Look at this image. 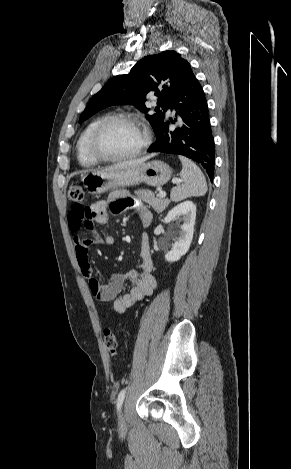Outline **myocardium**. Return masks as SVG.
<instances>
[{
  "instance_id": "myocardium-1",
  "label": "myocardium",
  "mask_w": 291,
  "mask_h": 469,
  "mask_svg": "<svg viewBox=\"0 0 291 469\" xmlns=\"http://www.w3.org/2000/svg\"><path fill=\"white\" fill-rule=\"evenodd\" d=\"M116 122H127L132 125L139 127L144 134V140L142 144L133 152L123 155V156H110L107 155L101 148V138L104 131L113 123ZM151 143V133L149 129L136 117L129 114H114L106 117L102 120L93 130L90 141L89 148L92 155L102 162H123L130 159H133L140 154H142Z\"/></svg>"
}]
</instances>
